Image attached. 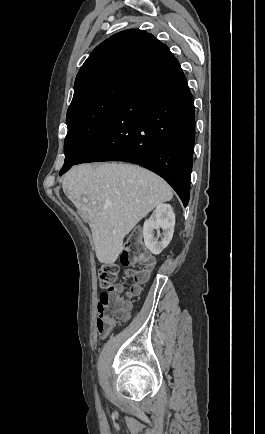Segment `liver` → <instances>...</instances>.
<instances>
[{
  "label": "liver",
  "instance_id": "liver-1",
  "mask_svg": "<svg viewBox=\"0 0 265 434\" xmlns=\"http://www.w3.org/2000/svg\"><path fill=\"white\" fill-rule=\"evenodd\" d=\"M62 188L88 222L101 264H114L125 236L156 206L173 198L162 178L130 164L74 166L65 174Z\"/></svg>",
  "mask_w": 265,
  "mask_h": 434
}]
</instances>
